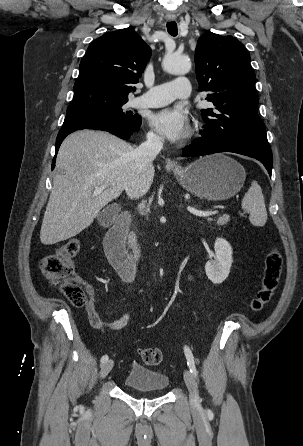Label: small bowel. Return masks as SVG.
I'll list each match as a JSON object with an SVG mask.
<instances>
[{
	"label": "small bowel",
	"mask_w": 303,
	"mask_h": 446,
	"mask_svg": "<svg viewBox=\"0 0 303 446\" xmlns=\"http://www.w3.org/2000/svg\"><path fill=\"white\" fill-rule=\"evenodd\" d=\"M86 290L89 296V300L85 306L86 315L90 324L98 330H114L125 326L131 320V314H125L121 318L112 321L104 322L99 316L94 306L93 292L90 287L86 286Z\"/></svg>",
	"instance_id": "small-bowel-1"
}]
</instances>
